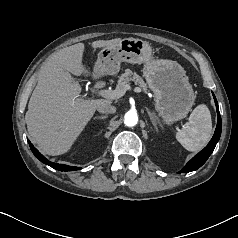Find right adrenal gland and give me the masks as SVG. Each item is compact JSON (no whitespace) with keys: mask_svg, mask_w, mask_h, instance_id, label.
Segmentation results:
<instances>
[{"mask_svg":"<svg viewBox=\"0 0 238 238\" xmlns=\"http://www.w3.org/2000/svg\"><path fill=\"white\" fill-rule=\"evenodd\" d=\"M108 116L107 115H102V116H96L94 119H106Z\"/></svg>","mask_w":238,"mask_h":238,"instance_id":"right-adrenal-gland-1","label":"right adrenal gland"}]
</instances>
